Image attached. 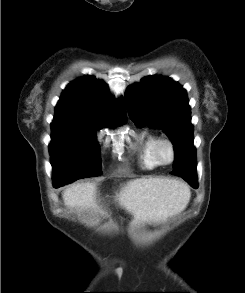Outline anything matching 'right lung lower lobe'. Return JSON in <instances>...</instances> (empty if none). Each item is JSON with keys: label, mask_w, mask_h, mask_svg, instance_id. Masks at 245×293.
<instances>
[{"label": "right lung lower lobe", "mask_w": 245, "mask_h": 293, "mask_svg": "<svg viewBox=\"0 0 245 293\" xmlns=\"http://www.w3.org/2000/svg\"><path fill=\"white\" fill-rule=\"evenodd\" d=\"M54 187H55V188H58V187H60V186H58V184H54Z\"/></svg>", "instance_id": "98d812e1"}]
</instances>
